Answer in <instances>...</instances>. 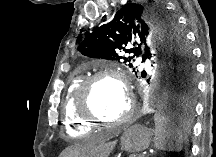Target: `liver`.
I'll return each instance as SVG.
<instances>
[{"label":"liver","mask_w":216,"mask_h":157,"mask_svg":"<svg viewBox=\"0 0 216 157\" xmlns=\"http://www.w3.org/2000/svg\"><path fill=\"white\" fill-rule=\"evenodd\" d=\"M109 149L110 144H105L103 141L98 143L90 141L68 147L60 157H105L109 154Z\"/></svg>","instance_id":"obj_1"}]
</instances>
